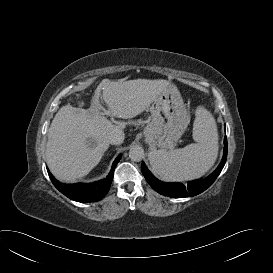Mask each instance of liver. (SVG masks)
I'll use <instances>...</instances> for the list:
<instances>
[{
    "instance_id": "liver-1",
    "label": "liver",
    "mask_w": 273,
    "mask_h": 273,
    "mask_svg": "<svg viewBox=\"0 0 273 273\" xmlns=\"http://www.w3.org/2000/svg\"><path fill=\"white\" fill-rule=\"evenodd\" d=\"M169 84L163 79L107 81L95 90L89 109L61 107L47 134L46 159L52 174L63 181L87 175L109 148L108 136L125 127L122 121L112 124L100 111L101 92L110 114L131 119L141 114Z\"/></svg>"
}]
</instances>
